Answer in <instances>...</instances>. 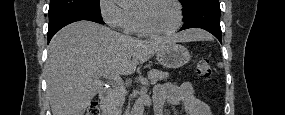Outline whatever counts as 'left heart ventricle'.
I'll return each instance as SVG.
<instances>
[{
	"mask_svg": "<svg viewBox=\"0 0 285 115\" xmlns=\"http://www.w3.org/2000/svg\"><path fill=\"white\" fill-rule=\"evenodd\" d=\"M137 12L153 31L165 32L173 29L177 23L175 7L168 1L142 2L137 6Z\"/></svg>",
	"mask_w": 285,
	"mask_h": 115,
	"instance_id": "obj_1",
	"label": "left heart ventricle"
}]
</instances>
